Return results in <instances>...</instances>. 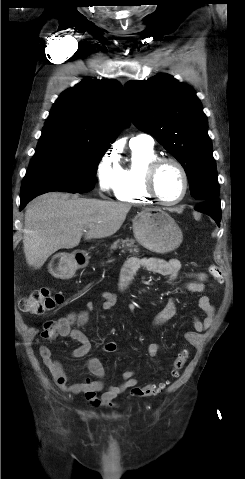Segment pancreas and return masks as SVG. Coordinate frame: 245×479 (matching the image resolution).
Instances as JSON below:
<instances>
[{
	"label": "pancreas",
	"mask_w": 245,
	"mask_h": 479,
	"mask_svg": "<svg viewBox=\"0 0 245 479\" xmlns=\"http://www.w3.org/2000/svg\"><path fill=\"white\" fill-rule=\"evenodd\" d=\"M134 239H118L110 247V250H116L117 248H127L130 252H138L137 246L134 245Z\"/></svg>",
	"instance_id": "pancreas-1"
}]
</instances>
